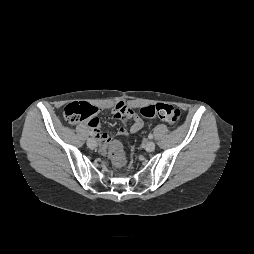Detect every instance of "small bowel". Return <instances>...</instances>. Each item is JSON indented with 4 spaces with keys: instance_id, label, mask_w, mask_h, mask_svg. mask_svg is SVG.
Listing matches in <instances>:
<instances>
[{
    "instance_id": "obj_1",
    "label": "small bowel",
    "mask_w": 254,
    "mask_h": 254,
    "mask_svg": "<svg viewBox=\"0 0 254 254\" xmlns=\"http://www.w3.org/2000/svg\"><path fill=\"white\" fill-rule=\"evenodd\" d=\"M113 113L121 122V126L118 129L119 136L128 135L127 124L129 121H132V125L129 129L131 134L139 132L144 126L143 120L135 113L133 108L123 101H119L115 104ZM89 126L93 130L94 136L99 140L101 150H105L112 145L113 140L111 136L101 130L100 121L97 117L89 123Z\"/></svg>"
}]
</instances>
